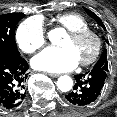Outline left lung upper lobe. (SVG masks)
Listing matches in <instances>:
<instances>
[{"instance_id": "obj_1", "label": "left lung upper lobe", "mask_w": 117, "mask_h": 117, "mask_svg": "<svg viewBox=\"0 0 117 117\" xmlns=\"http://www.w3.org/2000/svg\"><path fill=\"white\" fill-rule=\"evenodd\" d=\"M86 12L97 22L98 25H100L103 29H105V26L103 25L101 19L94 14L92 11L86 9ZM94 69H101L108 72V60H107V50H103V54L101 58L98 60L96 65L93 67Z\"/></svg>"}]
</instances>
